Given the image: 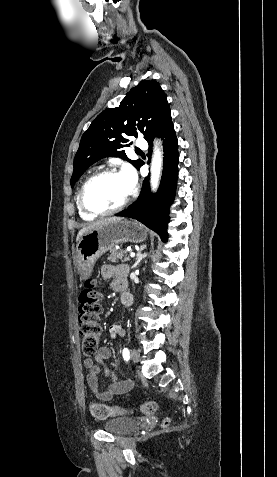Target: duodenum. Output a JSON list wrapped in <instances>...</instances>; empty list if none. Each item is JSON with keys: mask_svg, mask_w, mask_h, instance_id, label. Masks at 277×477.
I'll return each instance as SVG.
<instances>
[{"mask_svg": "<svg viewBox=\"0 0 277 477\" xmlns=\"http://www.w3.org/2000/svg\"><path fill=\"white\" fill-rule=\"evenodd\" d=\"M121 301L124 305L130 306L132 304V298L129 294L125 293L121 296Z\"/></svg>", "mask_w": 277, "mask_h": 477, "instance_id": "1", "label": "duodenum"}]
</instances>
